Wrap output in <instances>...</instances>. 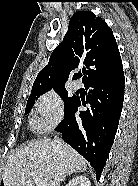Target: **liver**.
<instances>
[{"label":"liver","mask_w":138,"mask_h":186,"mask_svg":"<svg viewBox=\"0 0 138 186\" xmlns=\"http://www.w3.org/2000/svg\"><path fill=\"white\" fill-rule=\"evenodd\" d=\"M86 170V160L71 146L41 139L21 146L8 157L3 182L4 186H34L29 176L34 173L46 186H60L67 175Z\"/></svg>","instance_id":"obj_1"}]
</instances>
